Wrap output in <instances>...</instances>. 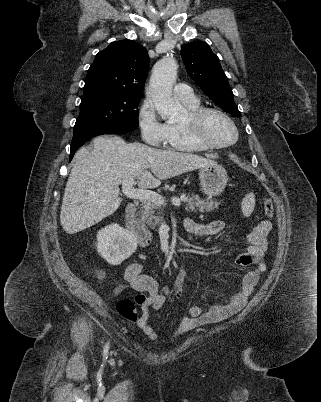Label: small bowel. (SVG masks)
Here are the masks:
<instances>
[{
	"instance_id": "small-bowel-1",
	"label": "small bowel",
	"mask_w": 321,
	"mask_h": 402,
	"mask_svg": "<svg viewBox=\"0 0 321 402\" xmlns=\"http://www.w3.org/2000/svg\"><path fill=\"white\" fill-rule=\"evenodd\" d=\"M184 228L190 237H207L220 234L224 229V223L221 221L200 223L193 219H186ZM271 229L272 225L269 221H260L248 235L249 246L246 252L236 257L238 265L251 267L245 273L239 289L227 302L211 304L206 311H203L200 306L190 307L187 315L181 319L175 336L186 333L200 325L222 321L245 306L261 274L266 270L264 256L268 249L267 236ZM184 277L185 271L181 268L177 273L175 299H179L184 292ZM124 280L125 283L116 288L117 293L125 288H131L148 294L146 301L142 304L137 326L151 340L157 339V333L149 321L150 309L159 310L164 305L169 295V289L164 287L160 290L156 280L142 274V267L139 263H131L127 266Z\"/></svg>"
}]
</instances>
